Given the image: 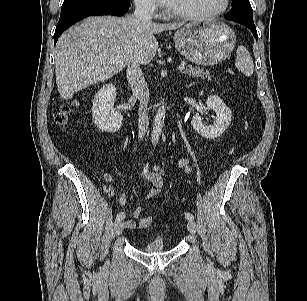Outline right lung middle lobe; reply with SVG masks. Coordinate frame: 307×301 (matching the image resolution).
Masks as SVG:
<instances>
[{"mask_svg":"<svg viewBox=\"0 0 307 301\" xmlns=\"http://www.w3.org/2000/svg\"><path fill=\"white\" fill-rule=\"evenodd\" d=\"M90 1H95V0H64L62 9H66ZM118 1H130V0H118Z\"/></svg>","mask_w":307,"mask_h":301,"instance_id":"right-lung-middle-lobe-1","label":"right lung middle lobe"}]
</instances>
